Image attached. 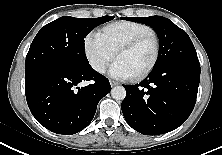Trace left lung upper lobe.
<instances>
[{"label":"left lung upper lobe","mask_w":222,"mask_h":155,"mask_svg":"<svg viewBox=\"0 0 222 155\" xmlns=\"http://www.w3.org/2000/svg\"><path fill=\"white\" fill-rule=\"evenodd\" d=\"M123 19L147 24L156 31L160 48L153 69L177 62L200 65L188 34L169 19L162 16L124 17Z\"/></svg>","instance_id":"left-lung-upper-lobe-1"}]
</instances>
